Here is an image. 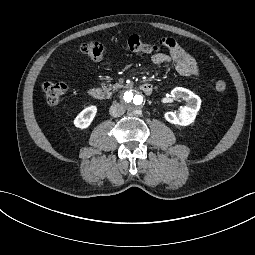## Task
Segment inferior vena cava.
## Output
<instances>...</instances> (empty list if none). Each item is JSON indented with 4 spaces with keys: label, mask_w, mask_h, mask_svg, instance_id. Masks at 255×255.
<instances>
[{
    "label": "inferior vena cava",
    "mask_w": 255,
    "mask_h": 255,
    "mask_svg": "<svg viewBox=\"0 0 255 255\" xmlns=\"http://www.w3.org/2000/svg\"><path fill=\"white\" fill-rule=\"evenodd\" d=\"M109 112L111 116L119 117L125 113V109L119 103H113L109 109Z\"/></svg>",
    "instance_id": "1"
}]
</instances>
